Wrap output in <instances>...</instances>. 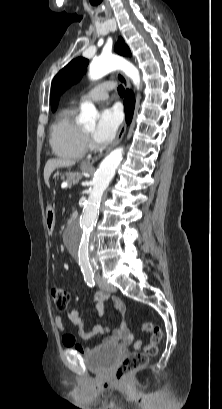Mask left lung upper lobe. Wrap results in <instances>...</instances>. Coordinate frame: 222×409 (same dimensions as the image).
I'll use <instances>...</instances> for the list:
<instances>
[{
  "label": "left lung upper lobe",
  "instance_id": "left-lung-upper-lobe-1",
  "mask_svg": "<svg viewBox=\"0 0 222 409\" xmlns=\"http://www.w3.org/2000/svg\"><path fill=\"white\" fill-rule=\"evenodd\" d=\"M115 50L121 55L130 56L127 45H124L122 38H119ZM89 61L79 57L66 65L53 79L51 85V109L54 112L58 105L59 95L69 86L78 82L82 74L85 73Z\"/></svg>",
  "mask_w": 222,
  "mask_h": 409
}]
</instances>
